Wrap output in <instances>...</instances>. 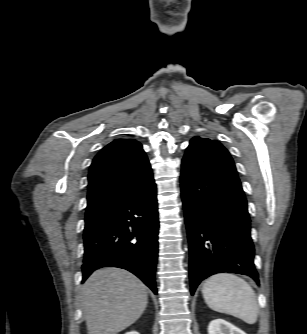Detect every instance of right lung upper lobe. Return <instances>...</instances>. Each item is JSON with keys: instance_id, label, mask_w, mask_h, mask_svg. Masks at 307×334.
<instances>
[{"instance_id": "1", "label": "right lung upper lobe", "mask_w": 307, "mask_h": 334, "mask_svg": "<svg viewBox=\"0 0 307 334\" xmlns=\"http://www.w3.org/2000/svg\"><path fill=\"white\" fill-rule=\"evenodd\" d=\"M153 181L142 145L131 139L114 140L90 166L86 217L100 216Z\"/></svg>"}]
</instances>
